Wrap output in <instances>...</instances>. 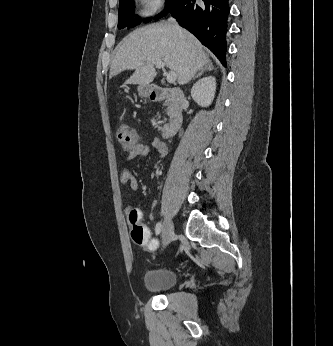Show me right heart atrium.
<instances>
[{
  "instance_id": "d8ad5b80",
  "label": "right heart atrium",
  "mask_w": 333,
  "mask_h": 346,
  "mask_svg": "<svg viewBox=\"0 0 333 346\" xmlns=\"http://www.w3.org/2000/svg\"><path fill=\"white\" fill-rule=\"evenodd\" d=\"M163 0H140L143 15L155 13L162 5Z\"/></svg>"
}]
</instances>
